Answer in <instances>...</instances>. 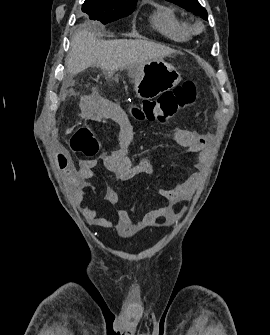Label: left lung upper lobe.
I'll return each mask as SVG.
<instances>
[{
  "mask_svg": "<svg viewBox=\"0 0 270 335\" xmlns=\"http://www.w3.org/2000/svg\"><path fill=\"white\" fill-rule=\"evenodd\" d=\"M173 2L186 10L193 12L195 15L200 16L207 20V11L203 8L197 0H167Z\"/></svg>",
  "mask_w": 270,
  "mask_h": 335,
  "instance_id": "left-lung-upper-lobe-1",
  "label": "left lung upper lobe"
}]
</instances>
